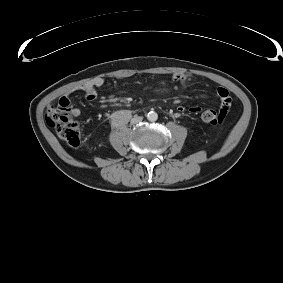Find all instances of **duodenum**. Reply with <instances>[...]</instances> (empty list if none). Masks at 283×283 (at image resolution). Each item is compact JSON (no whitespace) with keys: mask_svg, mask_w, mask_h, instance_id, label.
<instances>
[{"mask_svg":"<svg viewBox=\"0 0 283 283\" xmlns=\"http://www.w3.org/2000/svg\"><path fill=\"white\" fill-rule=\"evenodd\" d=\"M122 115H124L126 117V119L131 117V113L130 112H126V111H123Z\"/></svg>","mask_w":283,"mask_h":283,"instance_id":"duodenum-1","label":"duodenum"}]
</instances>
